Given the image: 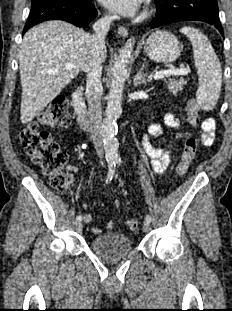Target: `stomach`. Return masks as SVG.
Here are the masks:
<instances>
[{
  "label": "stomach",
  "instance_id": "1",
  "mask_svg": "<svg viewBox=\"0 0 232 311\" xmlns=\"http://www.w3.org/2000/svg\"><path fill=\"white\" fill-rule=\"evenodd\" d=\"M182 47L178 39L168 31L152 32L146 40L144 51L155 62H173L181 53Z\"/></svg>",
  "mask_w": 232,
  "mask_h": 311
}]
</instances>
